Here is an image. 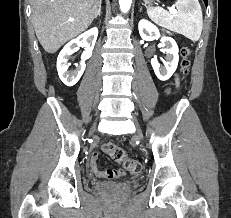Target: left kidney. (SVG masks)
Segmentation results:
<instances>
[{"label":"left kidney","instance_id":"left-kidney-1","mask_svg":"<svg viewBox=\"0 0 231 218\" xmlns=\"http://www.w3.org/2000/svg\"><path fill=\"white\" fill-rule=\"evenodd\" d=\"M138 29L143 40L149 41L161 37L159 29L145 19L140 20ZM161 43L164 48L163 51L166 53V57L163 62L164 66H160L159 62L155 58L151 59V65L158 79L167 80L173 75L178 66L179 49L175 40L171 37H161Z\"/></svg>","mask_w":231,"mask_h":218}]
</instances>
